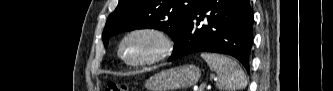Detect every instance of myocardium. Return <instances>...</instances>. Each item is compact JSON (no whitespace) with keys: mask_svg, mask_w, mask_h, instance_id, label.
<instances>
[{"mask_svg":"<svg viewBox=\"0 0 333 91\" xmlns=\"http://www.w3.org/2000/svg\"><path fill=\"white\" fill-rule=\"evenodd\" d=\"M135 36H146L151 38L157 46L155 53L140 60H128L124 55V46L129 39ZM174 45V39L164 29L152 26H141L131 29L123 36L118 46V55L126 65L131 67H142L161 62L168 58L174 50Z\"/></svg>","mask_w":333,"mask_h":91,"instance_id":"obj_1","label":"myocardium"}]
</instances>
